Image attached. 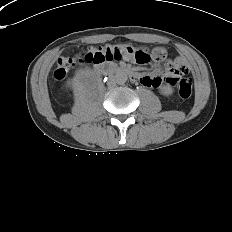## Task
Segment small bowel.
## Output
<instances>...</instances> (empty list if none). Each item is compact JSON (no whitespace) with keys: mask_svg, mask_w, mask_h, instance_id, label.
I'll use <instances>...</instances> for the list:
<instances>
[{"mask_svg":"<svg viewBox=\"0 0 232 232\" xmlns=\"http://www.w3.org/2000/svg\"><path fill=\"white\" fill-rule=\"evenodd\" d=\"M174 66L179 69H185L184 61L180 58H177L174 61ZM166 77H169V74H166ZM142 84L146 87H157L163 80V78L158 73L145 74L140 78Z\"/></svg>","mask_w":232,"mask_h":232,"instance_id":"obj_1","label":"small bowel"}]
</instances>
